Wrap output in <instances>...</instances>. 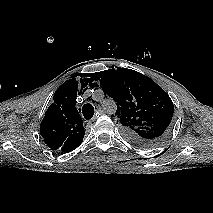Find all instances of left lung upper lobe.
Wrapping results in <instances>:
<instances>
[{"mask_svg": "<svg viewBox=\"0 0 213 213\" xmlns=\"http://www.w3.org/2000/svg\"><path fill=\"white\" fill-rule=\"evenodd\" d=\"M105 96L116 102L118 122L125 137L141 147L161 143L170 131L174 106L169 95L152 79L126 68L99 73Z\"/></svg>", "mask_w": 213, "mask_h": 213, "instance_id": "obj_1", "label": "left lung upper lobe"}]
</instances>
